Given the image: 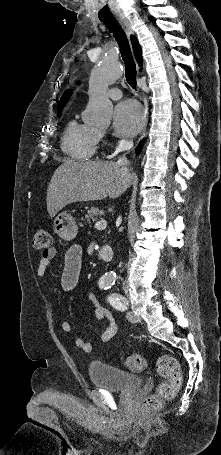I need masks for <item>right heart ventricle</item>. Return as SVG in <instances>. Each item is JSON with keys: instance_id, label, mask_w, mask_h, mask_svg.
I'll return each instance as SVG.
<instances>
[{"instance_id": "right-heart-ventricle-1", "label": "right heart ventricle", "mask_w": 221, "mask_h": 455, "mask_svg": "<svg viewBox=\"0 0 221 455\" xmlns=\"http://www.w3.org/2000/svg\"><path fill=\"white\" fill-rule=\"evenodd\" d=\"M98 129L71 119L63 132L61 147L74 160L91 159L98 148Z\"/></svg>"}]
</instances>
